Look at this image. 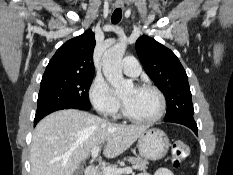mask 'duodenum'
<instances>
[{
	"instance_id": "410a0bca",
	"label": "duodenum",
	"mask_w": 233,
	"mask_h": 175,
	"mask_svg": "<svg viewBox=\"0 0 233 175\" xmlns=\"http://www.w3.org/2000/svg\"><path fill=\"white\" fill-rule=\"evenodd\" d=\"M85 175H97V168L94 165H90L85 170Z\"/></svg>"
}]
</instances>
